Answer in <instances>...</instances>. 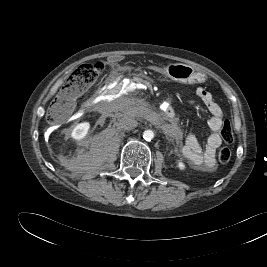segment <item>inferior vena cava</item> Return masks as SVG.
<instances>
[{
  "label": "inferior vena cava",
  "mask_w": 267,
  "mask_h": 267,
  "mask_svg": "<svg viewBox=\"0 0 267 267\" xmlns=\"http://www.w3.org/2000/svg\"><path fill=\"white\" fill-rule=\"evenodd\" d=\"M137 125L138 122L134 118L129 116H123L117 122V126L124 130H132L137 127Z\"/></svg>",
  "instance_id": "1"
}]
</instances>
